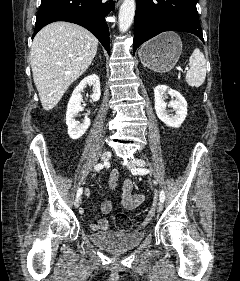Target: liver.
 <instances>
[{
	"mask_svg": "<svg viewBox=\"0 0 240 281\" xmlns=\"http://www.w3.org/2000/svg\"><path fill=\"white\" fill-rule=\"evenodd\" d=\"M98 40L87 29L58 21L41 29L30 51L32 74L42 107L52 110L92 63Z\"/></svg>",
	"mask_w": 240,
	"mask_h": 281,
	"instance_id": "obj_1",
	"label": "liver"
}]
</instances>
